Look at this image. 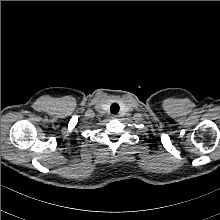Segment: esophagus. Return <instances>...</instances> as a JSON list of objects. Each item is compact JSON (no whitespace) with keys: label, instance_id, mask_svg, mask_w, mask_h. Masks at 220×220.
<instances>
[{"label":"esophagus","instance_id":"34e87169","mask_svg":"<svg viewBox=\"0 0 220 220\" xmlns=\"http://www.w3.org/2000/svg\"><path fill=\"white\" fill-rule=\"evenodd\" d=\"M112 119H118V115H112Z\"/></svg>","mask_w":220,"mask_h":220}]
</instances>
